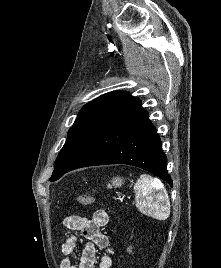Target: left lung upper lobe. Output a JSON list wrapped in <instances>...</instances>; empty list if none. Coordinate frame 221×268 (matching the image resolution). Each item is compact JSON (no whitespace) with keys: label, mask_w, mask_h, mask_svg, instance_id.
Wrapping results in <instances>:
<instances>
[{"label":"left lung upper lobe","mask_w":221,"mask_h":268,"mask_svg":"<svg viewBox=\"0 0 221 268\" xmlns=\"http://www.w3.org/2000/svg\"><path fill=\"white\" fill-rule=\"evenodd\" d=\"M139 106L141 101L126 91L107 93L87 103L68 131L67 140L58 154L50 181L59 179L111 123Z\"/></svg>","instance_id":"1"}]
</instances>
